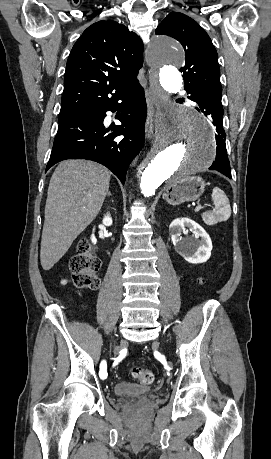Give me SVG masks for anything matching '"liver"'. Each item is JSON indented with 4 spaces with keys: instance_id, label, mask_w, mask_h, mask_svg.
<instances>
[{
    "instance_id": "obj_1",
    "label": "liver",
    "mask_w": 271,
    "mask_h": 459,
    "mask_svg": "<svg viewBox=\"0 0 271 459\" xmlns=\"http://www.w3.org/2000/svg\"><path fill=\"white\" fill-rule=\"evenodd\" d=\"M110 172L89 160H65L49 184L42 231L40 261L51 269L77 235L97 214L109 190Z\"/></svg>"
}]
</instances>
